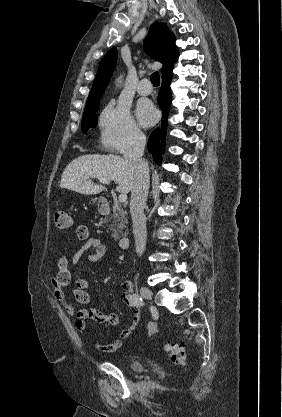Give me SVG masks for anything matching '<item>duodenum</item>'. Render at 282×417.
<instances>
[{"instance_id":"obj_1","label":"duodenum","mask_w":282,"mask_h":417,"mask_svg":"<svg viewBox=\"0 0 282 417\" xmlns=\"http://www.w3.org/2000/svg\"><path fill=\"white\" fill-rule=\"evenodd\" d=\"M100 211L102 213H106V214L109 213L110 208H109L108 203H106V202L102 203ZM129 241H130V237L128 235H122L119 239L120 247L122 249H127L128 245H129Z\"/></svg>"}]
</instances>
